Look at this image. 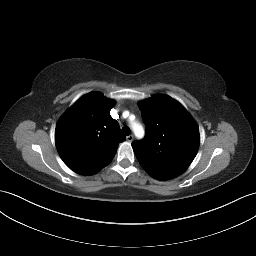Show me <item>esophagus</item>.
<instances>
[{"label":"esophagus","mask_w":256,"mask_h":256,"mask_svg":"<svg viewBox=\"0 0 256 256\" xmlns=\"http://www.w3.org/2000/svg\"><path fill=\"white\" fill-rule=\"evenodd\" d=\"M133 139H134V136H133V135H129V136L126 137V140H127L128 142H132Z\"/></svg>","instance_id":"1"}]
</instances>
